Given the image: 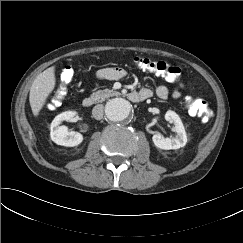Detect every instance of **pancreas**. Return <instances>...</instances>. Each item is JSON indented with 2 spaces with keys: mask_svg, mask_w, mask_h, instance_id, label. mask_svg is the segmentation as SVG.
Listing matches in <instances>:
<instances>
[{
  "mask_svg": "<svg viewBox=\"0 0 243 243\" xmlns=\"http://www.w3.org/2000/svg\"><path fill=\"white\" fill-rule=\"evenodd\" d=\"M120 93L118 91H114L113 89H104V90H98L90 95V98L94 102H103L107 98L112 97V96H118Z\"/></svg>",
  "mask_w": 243,
  "mask_h": 243,
  "instance_id": "obj_1",
  "label": "pancreas"
}]
</instances>
